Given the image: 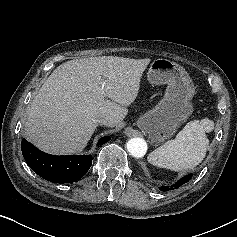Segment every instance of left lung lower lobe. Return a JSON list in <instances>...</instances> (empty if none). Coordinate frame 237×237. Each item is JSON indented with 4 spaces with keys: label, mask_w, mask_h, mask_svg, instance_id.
<instances>
[{
    "label": "left lung lower lobe",
    "mask_w": 237,
    "mask_h": 237,
    "mask_svg": "<svg viewBox=\"0 0 237 237\" xmlns=\"http://www.w3.org/2000/svg\"><path fill=\"white\" fill-rule=\"evenodd\" d=\"M192 175H187L186 177H183L182 179H180L178 182H176L174 185L171 186V188L164 186L162 188H160V190L162 191H168L169 189L173 190V188L177 189L180 187V185L187 183L190 179H191Z\"/></svg>",
    "instance_id": "1"
}]
</instances>
